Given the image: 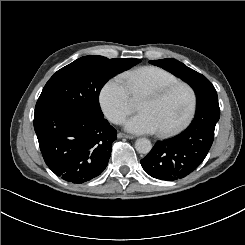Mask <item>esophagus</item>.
I'll use <instances>...</instances> for the list:
<instances>
[{
  "instance_id": "34e87169",
  "label": "esophagus",
  "mask_w": 245,
  "mask_h": 245,
  "mask_svg": "<svg viewBox=\"0 0 245 245\" xmlns=\"http://www.w3.org/2000/svg\"><path fill=\"white\" fill-rule=\"evenodd\" d=\"M118 138H127V139H134L135 137L134 136H131V135H128V134H124V133H121L119 132L117 134Z\"/></svg>"
}]
</instances>
